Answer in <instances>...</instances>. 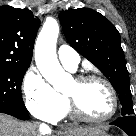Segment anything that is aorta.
Here are the masks:
<instances>
[{
  "mask_svg": "<svg viewBox=\"0 0 136 136\" xmlns=\"http://www.w3.org/2000/svg\"><path fill=\"white\" fill-rule=\"evenodd\" d=\"M59 25L55 19L48 18L36 41L35 62L42 76L57 91H64L65 83L71 76L61 67L56 55Z\"/></svg>",
  "mask_w": 136,
  "mask_h": 136,
  "instance_id": "aorta-1",
  "label": "aorta"
}]
</instances>
